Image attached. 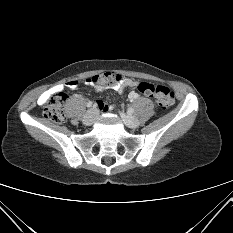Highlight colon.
<instances>
[{
	"instance_id": "1",
	"label": "colon",
	"mask_w": 233,
	"mask_h": 233,
	"mask_svg": "<svg viewBox=\"0 0 233 233\" xmlns=\"http://www.w3.org/2000/svg\"><path fill=\"white\" fill-rule=\"evenodd\" d=\"M111 74L119 80H114L110 76ZM90 79L93 81L94 85L99 86H114L122 80L120 75L113 72L97 74ZM136 88L144 95L153 97L158 109L165 110L174 103V94L166 86H154L147 82H140L137 84ZM66 99L67 95L61 90L51 94L43 108V116L52 122L62 123L65 119L62 106Z\"/></svg>"
}]
</instances>
